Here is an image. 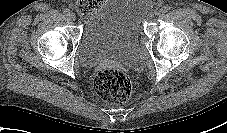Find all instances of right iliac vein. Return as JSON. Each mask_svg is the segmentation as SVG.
<instances>
[{
	"label": "right iliac vein",
	"instance_id": "right-iliac-vein-1",
	"mask_svg": "<svg viewBox=\"0 0 227 133\" xmlns=\"http://www.w3.org/2000/svg\"><path fill=\"white\" fill-rule=\"evenodd\" d=\"M69 18H70L71 20H75V18H76V17H75V14H74V13H70V14H69Z\"/></svg>",
	"mask_w": 227,
	"mask_h": 133
}]
</instances>
